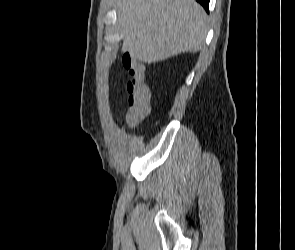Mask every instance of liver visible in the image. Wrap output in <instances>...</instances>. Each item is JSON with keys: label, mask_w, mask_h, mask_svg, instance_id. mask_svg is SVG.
Returning <instances> with one entry per match:
<instances>
[{"label": "liver", "mask_w": 295, "mask_h": 250, "mask_svg": "<svg viewBox=\"0 0 295 250\" xmlns=\"http://www.w3.org/2000/svg\"><path fill=\"white\" fill-rule=\"evenodd\" d=\"M122 50L155 63L199 51L207 34V14L195 0H116Z\"/></svg>", "instance_id": "6515ba94"}]
</instances>
